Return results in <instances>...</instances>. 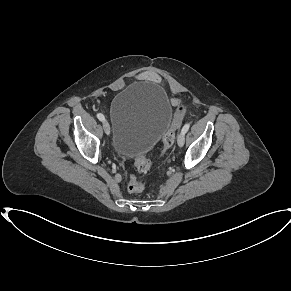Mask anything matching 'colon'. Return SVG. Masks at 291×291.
Listing matches in <instances>:
<instances>
[{"instance_id": "colon-1", "label": "colon", "mask_w": 291, "mask_h": 291, "mask_svg": "<svg viewBox=\"0 0 291 291\" xmlns=\"http://www.w3.org/2000/svg\"><path fill=\"white\" fill-rule=\"evenodd\" d=\"M187 108L180 106L174 116L171 126L165 132L162 138V150L161 155H164L166 151L173 145L175 141L176 132L179 129L183 118L186 114ZM135 165L140 172H147L152 162L143 155H139L135 158ZM128 190L131 193H140L143 190V184L137 179L135 175H131L128 181Z\"/></svg>"}]
</instances>
